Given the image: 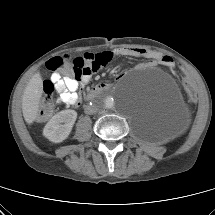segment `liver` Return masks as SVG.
<instances>
[{"label": "liver", "mask_w": 215, "mask_h": 215, "mask_svg": "<svg viewBox=\"0 0 215 215\" xmlns=\"http://www.w3.org/2000/svg\"><path fill=\"white\" fill-rule=\"evenodd\" d=\"M43 94V80L39 72L35 73L28 82L22 97L23 117L28 124H32L39 112Z\"/></svg>", "instance_id": "1"}]
</instances>
